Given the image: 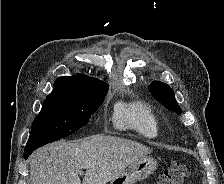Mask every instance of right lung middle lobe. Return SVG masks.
I'll return each instance as SVG.
<instances>
[{"label":"right lung middle lobe","instance_id":"obj_1","mask_svg":"<svg viewBox=\"0 0 224 184\" xmlns=\"http://www.w3.org/2000/svg\"><path fill=\"white\" fill-rule=\"evenodd\" d=\"M108 89L90 96L58 99L46 98L35 117L25 149H37L60 140L85 126L100 107Z\"/></svg>","mask_w":224,"mask_h":184}]
</instances>
